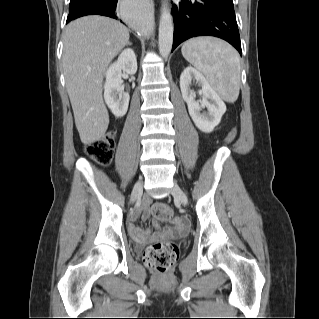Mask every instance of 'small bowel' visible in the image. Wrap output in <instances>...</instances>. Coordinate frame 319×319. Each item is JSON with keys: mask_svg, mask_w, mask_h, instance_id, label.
Instances as JSON below:
<instances>
[{"mask_svg": "<svg viewBox=\"0 0 319 319\" xmlns=\"http://www.w3.org/2000/svg\"><path fill=\"white\" fill-rule=\"evenodd\" d=\"M150 204L151 199L149 197H144L142 199L140 208L135 212L134 218L148 217V209ZM172 223L175 226V229H167L162 231L159 235L160 237L175 236L177 234L185 232L189 227L188 222L179 216L174 217ZM128 231L133 238L141 242H145L152 239V232L150 229L144 230L135 227L133 224H129Z\"/></svg>", "mask_w": 319, "mask_h": 319, "instance_id": "small-bowel-1", "label": "small bowel"}]
</instances>
